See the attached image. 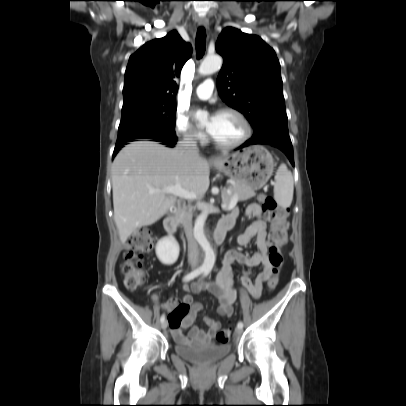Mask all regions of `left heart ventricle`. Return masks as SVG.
Returning a JSON list of instances; mask_svg holds the SVG:
<instances>
[{
  "label": "left heart ventricle",
  "mask_w": 406,
  "mask_h": 406,
  "mask_svg": "<svg viewBox=\"0 0 406 406\" xmlns=\"http://www.w3.org/2000/svg\"><path fill=\"white\" fill-rule=\"evenodd\" d=\"M208 131L222 143H233L243 135L241 121L231 113L216 114L214 122H206Z\"/></svg>",
  "instance_id": "1"
}]
</instances>
